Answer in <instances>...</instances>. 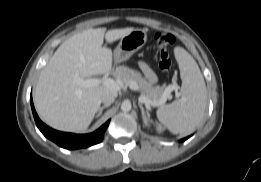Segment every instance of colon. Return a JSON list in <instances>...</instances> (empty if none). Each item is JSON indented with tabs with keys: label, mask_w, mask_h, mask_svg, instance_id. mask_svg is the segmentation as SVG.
Wrapping results in <instances>:
<instances>
[{
	"label": "colon",
	"mask_w": 261,
	"mask_h": 182,
	"mask_svg": "<svg viewBox=\"0 0 261 182\" xmlns=\"http://www.w3.org/2000/svg\"><path fill=\"white\" fill-rule=\"evenodd\" d=\"M155 41L159 49V67L168 72L172 65L169 48L174 44L175 38L170 33L158 32L155 35Z\"/></svg>",
	"instance_id": "colon-1"
}]
</instances>
